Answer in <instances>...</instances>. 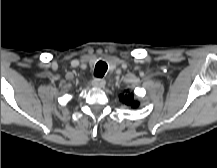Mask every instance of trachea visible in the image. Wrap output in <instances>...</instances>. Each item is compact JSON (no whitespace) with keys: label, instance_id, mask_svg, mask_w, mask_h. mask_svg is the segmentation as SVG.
Returning <instances> with one entry per match:
<instances>
[{"label":"trachea","instance_id":"obj_1","mask_svg":"<svg viewBox=\"0 0 217 168\" xmlns=\"http://www.w3.org/2000/svg\"><path fill=\"white\" fill-rule=\"evenodd\" d=\"M107 64L103 61L97 62L95 66V76L98 78H102L107 71Z\"/></svg>","mask_w":217,"mask_h":168}]
</instances>
